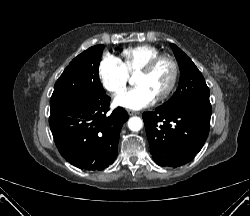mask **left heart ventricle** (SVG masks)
<instances>
[{"mask_svg":"<svg viewBox=\"0 0 250 216\" xmlns=\"http://www.w3.org/2000/svg\"><path fill=\"white\" fill-rule=\"evenodd\" d=\"M170 75V66L166 62H162L151 73L137 75L136 83L145 85L156 96L167 86Z\"/></svg>","mask_w":250,"mask_h":216,"instance_id":"b2bd125f","label":"left heart ventricle"}]
</instances>
